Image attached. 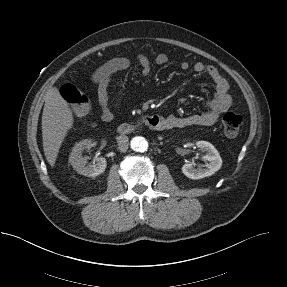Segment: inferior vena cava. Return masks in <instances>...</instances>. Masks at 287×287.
Wrapping results in <instances>:
<instances>
[{
    "label": "inferior vena cava",
    "mask_w": 287,
    "mask_h": 287,
    "mask_svg": "<svg viewBox=\"0 0 287 287\" xmlns=\"http://www.w3.org/2000/svg\"><path fill=\"white\" fill-rule=\"evenodd\" d=\"M118 148L121 152H126L129 146V138L126 135L117 137Z\"/></svg>",
    "instance_id": "obj_1"
}]
</instances>
